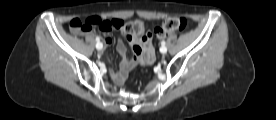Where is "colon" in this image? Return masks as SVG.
Segmentation results:
<instances>
[{"label":"colon","mask_w":276,"mask_h":120,"mask_svg":"<svg viewBox=\"0 0 276 120\" xmlns=\"http://www.w3.org/2000/svg\"><path fill=\"white\" fill-rule=\"evenodd\" d=\"M189 25V21L185 17H168L163 21L162 27L156 30L159 38H164L168 34L184 31ZM91 28H98L101 31L111 29L109 20L99 17H90L86 19H73L69 23V29L73 34H79L88 31ZM118 30L121 31L129 39L143 40L147 38L148 32L141 20H132L126 23L118 24ZM137 53H141L140 49H136Z\"/></svg>","instance_id":"obj_1"}]
</instances>
